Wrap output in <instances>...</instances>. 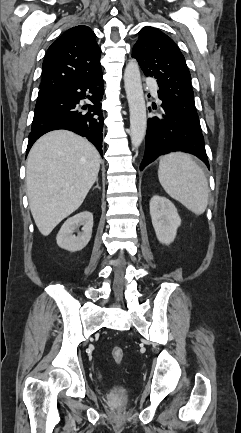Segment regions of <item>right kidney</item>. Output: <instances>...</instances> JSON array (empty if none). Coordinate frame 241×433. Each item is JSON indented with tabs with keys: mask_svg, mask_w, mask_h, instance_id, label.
I'll return each instance as SVG.
<instances>
[{
	"mask_svg": "<svg viewBox=\"0 0 241 433\" xmlns=\"http://www.w3.org/2000/svg\"><path fill=\"white\" fill-rule=\"evenodd\" d=\"M82 225V232L78 236L73 231ZM93 228V214L88 211L80 212L68 218L57 234V244L60 248L70 252L82 250L91 239Z\"/></svg>",
	"mask_w": 241,
	"mask_h": 433,
	"instance_id": "1",
	"label": "right kidney"
}]
</instances>
